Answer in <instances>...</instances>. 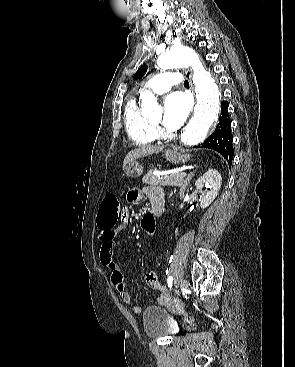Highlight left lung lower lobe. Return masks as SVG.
<instances>
[{
  "mask_svg": "<svg viewBox=\"0 0 295 367\" xmlns=\"http://www.w3.org/2000/svg\"><path fill=\"white\" fill-rule=\"evenodd\" d=\"M230 118L228 114V103L221 104L219 123L215 131L198 147L209 148L219 152L231 166L234 150L232 147V136L230 131Z\"/></svg>",
  "mask_w": 295,
  "mask_h": 367,
  "instance_id": "0a47b994",
  "label": "left lung lower lobe"
}]
</instances>
